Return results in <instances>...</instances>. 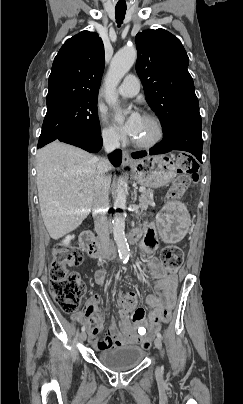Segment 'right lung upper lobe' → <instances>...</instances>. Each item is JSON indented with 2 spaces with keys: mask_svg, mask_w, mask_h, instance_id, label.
<instances>
[{
  "mask_svg": "<svg viewBox=\"0 0 243 404\" xmlns=\"http://www.w3.org/2000/svg\"><path fill=\"white\" fill-rule=\"evenodd\" d=\"M104 46L95 32L68 39L54 59L47 105L69 99L97 98L104 70Z\"/></svg>",
  "mask_w": 243,
  "mask_h": 404,
  "instance_id": "obj_1",
  "label": "right lung upper lobe"
}]
</instances>
